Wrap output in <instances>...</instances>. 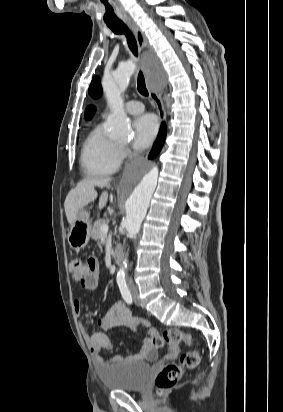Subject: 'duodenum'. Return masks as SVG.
Listing matches in <instances>:
<instances>
[{
	"instance_id": "1",
	"label": "duodenum",
	"mask_w": 283,
	"mask_h": 412,
	"mask_svg": "<svg viewBox=\"0 0 283 412\" xmlns=\"http://www.w3.org/2000/svg\"><path fill=\"white\" fill-rule=\"evenodd\" d=\"M112 259L113 261L120 265L122 262V250L120 247H116L112 252Z\"/></svg>"
}]
</instances>
